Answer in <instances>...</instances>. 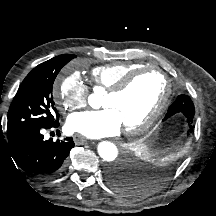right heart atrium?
<instances>
[{
	"mask_svg": "<svg viewBox=\"0 0 216 216\" xmlns=\"http://www.w3.org/2000/svg\"><path fill=\"white\" fill-rule=\"evenodd\" d=\"M88 95V86L76 74L65 77L53 93L54 100L62 111L85 107Z\"/></svg>",
	"mask_w": 216,
	"mask_h": 216,
	"instance_id": "d8ad5b80",
	"label": "right heart atrium"
}]
</instances>
